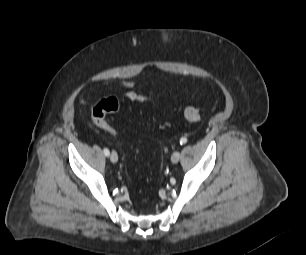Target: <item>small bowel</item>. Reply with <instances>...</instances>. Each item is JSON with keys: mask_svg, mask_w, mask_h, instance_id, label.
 I'll use <instances>...</instances> for the list:
<instances>
[{"mask_svg": "<svg viewBox=\"0 0 306 255\" xmlns=\"http://www.w3.org/2000/svg\"><path fill=\"white\" fill-rule=\"evenodd\" d=\"M134 82L132 81H124L120 84V87L124 89V96L133 102H146L152 99L153 92L147 93H138L134 91Z\"/></svg>", "mask_w": 306, "mask_h": 255, "instance_id": "obj_1", "label": "small bowel"}]
</instances>
